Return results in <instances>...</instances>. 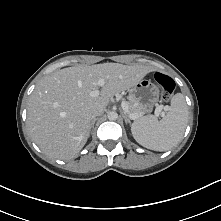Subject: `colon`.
Masks as SVG:
<instances>
[{
    "label": "colon",
    "instance_id": "5ec220e1",
    "mask_svg": "<svg viewBox=\"0 0 221 221\" xmlns=\"http://www.w3.org/2000/svg\"><path fill=\"white\" fill-rule=\"evenodd\" d=\"M154 79L162 89V93H161L162 100L167 102L172 96L174 89H175V83L173 79L159 72L155 73Z\"/></svg>",
    "mask_w": 221,
    "mask_h": 221
}]
</instances>
